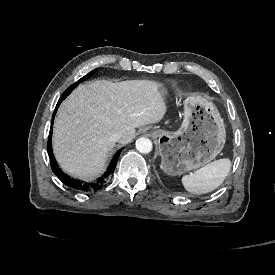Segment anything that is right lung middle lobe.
<instances>
[{"label": "right lung middle lobe", "instance_id": "right-lung-middle-lobe-1", "mask_svg": "<svg viewBox=\"0 0 275 275\" xmlns=\"http://www.w3.org/2000/svg\"><path fill=\"white\" fill-rule=\"evenodd\" d=\"M95 73V70L94 71H91L90 73H88L87 75H85L83 78H81L78 82L72 84L70 87H68L65 92L63 93V97H66L68 96L72 90L81 82L87 80L89 77H91L93 74Z\"/></svg>", "mask_w": 275, "mask_h": 275}]
</instances>
